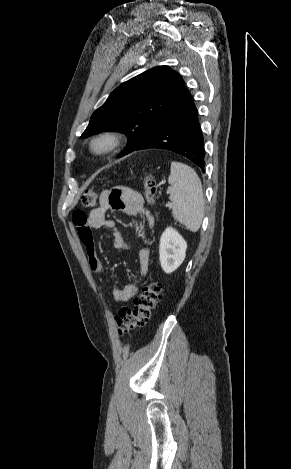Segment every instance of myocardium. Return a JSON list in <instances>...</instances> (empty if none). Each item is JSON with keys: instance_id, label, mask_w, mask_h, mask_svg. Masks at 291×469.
I'll use <instances>...</instances> for the list:
<instances>
[{"instance_id": "f54148a6", "label": "myocardium", "mask_w": 291, "mask_h": 469, "mask_svg": "<svg viewBox=\"0 0 291 469\" xmlns=\"http://www.w3.org/2000/svg\"><path fill=\"white\" fill-rule=\"evenodd\" d=\"M121 134L114 130H103L93 135L89 141V151L95 156L112 153L121 143Z\"/></svg>"}]
</instances>
